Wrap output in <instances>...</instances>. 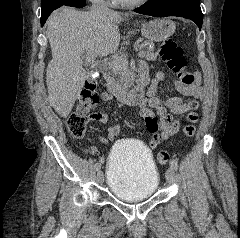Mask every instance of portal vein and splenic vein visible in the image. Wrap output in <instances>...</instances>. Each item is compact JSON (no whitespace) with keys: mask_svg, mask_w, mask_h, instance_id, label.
<instances>
[{"mask_svg":"<svg viewBox=\"0 0 240 238\" xmlns=\"http://www.w3.org/2000/svg\"><path fill=\"white\" fill-rule=\"evenodd\" d=\"M139 48V53H138V56L139 57H143V51H142V46H138ZM95 55L92 54V53H87L86 54V60L88 63H94V60H95ZM120 63V61L118 59H114L111 63H109V67H113L115 65H118Z\"/></svg>","mask_w":240,"mask_h":238,"instance_id":"portal-vein-and-splenic-vein-1","label":"portal vein and splenic vein"}]
</instances>
